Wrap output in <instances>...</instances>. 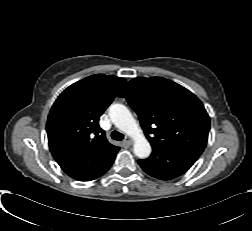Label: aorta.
<instances>
[{
    "label": "aorta",
    "instance_id": "762f6f07",
    "mask_svg": "<svg viewBox=\"0 0 252 231\" xmlns=\"http://www.w3.org/2000/svg\"><path fill=\"white\" fill-rule=\"evenodd\" d=\"M109 116L119 130L134 140V154L140 159L149 157L151 154V145L129 109L122 104H112L109 108Z\"/></svg>",
    "mask_w": 252,
    "mask_h": 231
}]
</instances>
